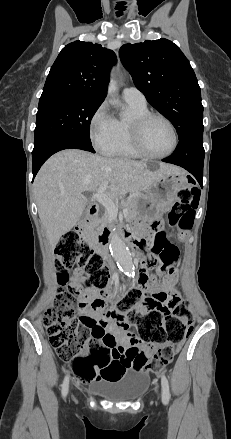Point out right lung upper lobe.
<instances>
[{
  "instance_id": "1",
  "label": "right lung upper lobe",
  "mask_w": 231,
  "mask_h": 439,
  "mask_svg": "<svg viewBox=\"0 0 231 439\" xmlns=\"http://www.w3.org/2000/svg\"><path fill=\"white\" fill-rule=\"evenodd\" d=\"M114 64V52L100 44L75 41L66 45L50 69L39 102L64 97L103 102Z\"/></svg>"
}]
</instances>
